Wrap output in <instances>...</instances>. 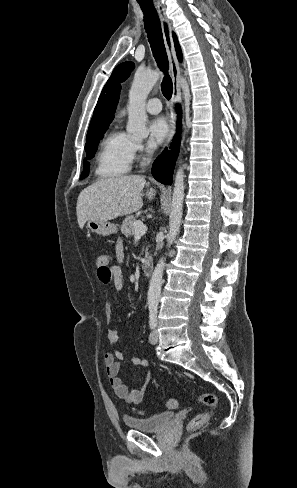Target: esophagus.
<instances>
[{
    "instance_id": "34e87169",
    "label": "esophagus",
    "mask_w": 297,
    "mask_h": 488,
    "mask_svg": "<svg viewBox=\"0 0 297 488\" xmlns=\"http://www.w3.org/2000/svg\"><path fill=\"white\" fill-rule=\"evenodd\" d=\"M157 9L161 18L163 38L166 46V51L170 63V69L172 73L173 80V98L171 106V118H170V133L168 137L167 146L170 145L172 138L176 133V122L178 115V104L181 102V72L180 65L176 57L173 37H172V27L166 16L165 8L160 1L157 2Z\"/></svg>"
}]
</instances>
